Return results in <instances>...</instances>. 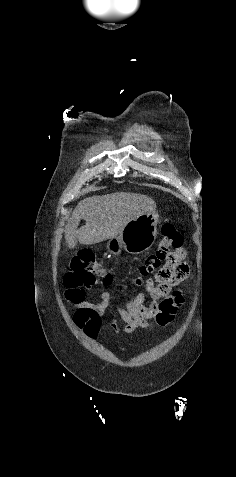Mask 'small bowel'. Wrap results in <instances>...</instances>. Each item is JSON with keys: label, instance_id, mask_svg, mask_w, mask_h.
Returning a JSON list of instances; mask_svg holds the SVG:
<instances>
[{"label": "small bowel", "instance_id": "1", "mask_svg": "<svg viewBox=\"0 0 236 477\" xmlns=\"http://www.w3.org/2000/svg\"><path fill=\"white\" fill-rule=\"evenodd\" d=\"M182 272V276L173 284L185 279L188 272L185 263ZM146 291L151 298L150 302H145L142 292L126 298L124 306L116 309L115 319L109 325L111 330H117L122 324L125 333L131 334L138 328L147 329L153 326L165 328L172 323L176 312L184 302L182 293L180 291H176L172 295L170 292L164 293L157 286V282L152 279L146 281ZM66 297L76 306L72 319L74 325L87 337L96 339L102 328V316L110 305L111 294L108 291H103L96 303L76 302L67 292Z\"/></svg>", "mask_w": 236, "mask_h": 477}]
</instances>
